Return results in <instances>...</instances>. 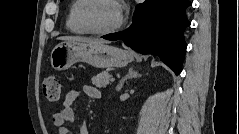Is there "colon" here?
<instances>
[{
    "mask_svg": "<svg viewBox=\"0 0 239 134\" xmlns=\"http://www.w3.org/2000/svg\"><path fill=\"white\" fill-rule=\"evenodd\" d=\"M43 93L51 104H57L60 101L61 83L55 76H49L43 83Z\"/></svg>",
    "mask_w": 239,
    "mask_h": 134,
    "instance_id": "1",
    "label": "colon"
}]
</instances>
